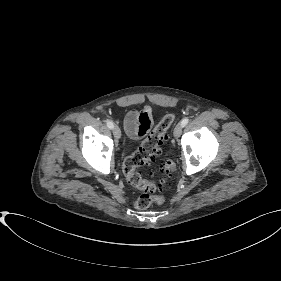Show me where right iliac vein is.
Wrapping results in <instances>:
<instances>
[{
  "label": "right iliac vein",
  "instance_id": "right-iliac-vein-1",
  "mask_svg": "<svg viewBox=\"0 0 281 281\" xmlns=\"http://www.w3.org/2000/svg\"><path fill=\"white\" fill-rule=\"evenodd\" d=\"M113 135L116 139H120L121 131H120V128L118 126L113 127Z\"/></svg>",
  "mask_w": 281,
  "mask_h": 281
}]
</instances>
